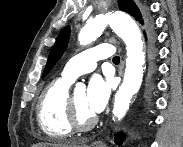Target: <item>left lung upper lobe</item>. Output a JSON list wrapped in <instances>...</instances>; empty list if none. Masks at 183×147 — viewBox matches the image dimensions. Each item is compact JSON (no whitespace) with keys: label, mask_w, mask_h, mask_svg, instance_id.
<instances>
[{"label":"left lung upper lobe","mask_w":183,"mask_h":147,"mask_svg":"<svg viewBox=\"0 0 183 147\" xmlns=\"http://www.w3.org/2000/svg\"><path fill=\"white\" fill-rule=\"evenodd\" d=\"M118 4L119 8L122 11H125L130 15H132L141 24L144 23L140 10L135 5L133 0H118ZM146 23L147 26H149V20H147ZM69 35H70V28L68 26L63 28V30L59 33L56 42L49 53V58L43 71L42 77H45L48 74V72L52 69V67L55 65V63L61 58L62 54L64 53L67 47Z\"/></svg>","instance_id":"left-lung-upper-lobe-1"}]
</instances>
